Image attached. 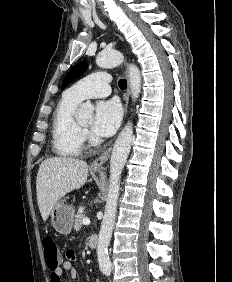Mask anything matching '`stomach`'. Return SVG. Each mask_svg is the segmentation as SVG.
<instances>
[{
  "instance_id": "stomach-1",
  "label": "stomach",
  "mask_w": 232,
  "mask_h": 282,
  "mask_svg": "<svg viewBox=\"0 0 232 282\" xmlns=\"http://www.w3.org/2000/svg\"><path fill=\"white\" fill-rule=\"evenodd\" d=\"M74 213L73 206L67 205L63 201L57 202L50 212L53 228L60 234H69L73 227Z\"/></svg>"
}]
</instances>
